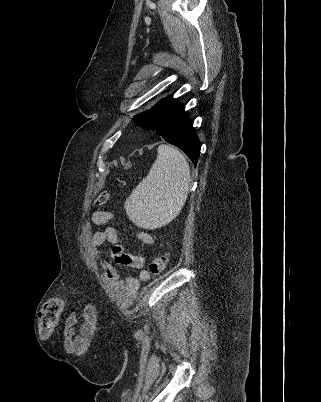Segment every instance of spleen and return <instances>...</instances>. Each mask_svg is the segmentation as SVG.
Segmentation results:
<instances>
[{
	"label": "spleen",
	"instance_id": "1",
	"mask_svg": "<svg viewBox=\"0 0 321 402\" xmlns=\"http://www.w3.org/2000/svg\"><path fill=\"white\" fill-rule=\"evenodd\" d=\"M189 186L190 167L185 157L179 150L162 144L148 175L126 199V214L136 226L161 227L179 214Z\"/></svg>",
	"mask_w": 321,
	"mask_h": 402
}]
</instances>
